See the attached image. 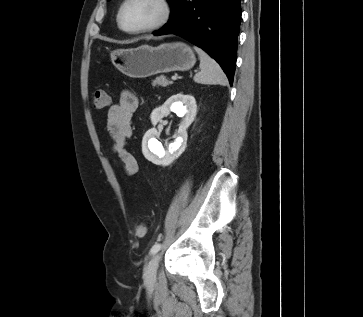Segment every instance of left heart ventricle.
<instances>
[{"label": "left heart ventricle", "instance_id": "left-heart-ventricle-1", "mask_svg": "<svg viewBox=\"0 0 363 317\" xmlns=\"http://www.w3.org/2000/svg\"><path fill=\"white\" fill-rule=\"evenodd\" d=\"M160 14L156 0H131L124 9L122 22L127 29H138L156 21Z\"/></svg>", "mask_w": 363, "mask_h": 317}]
</instances>
